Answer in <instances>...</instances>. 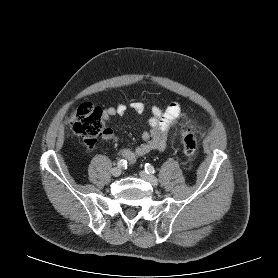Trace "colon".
I'll use <instances>...</instances> for the list:
<instances>
[{
  "label": "colon",
  "mask_w": 278,
  "mask_h": 278,
  "mask_svg": "<svg viewBox=\"0 0 278 278\" xmlns=\"http://www.w3.org/2000/svg\"><path fill=\"white\" fill-rule=\"evenodd\" d=\"M69 124L72 133L79 136L84 144L91 148L98 137L105 132V114L101 108L91 103H83L72 111ZM180 136L184 155L193 158L198 148L193 132L185 128Z\"/></svg>",
  "instance_id": "obj_1"
}]
</instances>
